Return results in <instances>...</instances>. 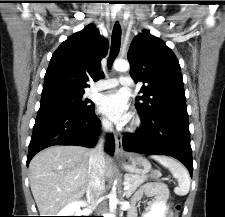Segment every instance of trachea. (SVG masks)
Returning a JSON list of instances; mask_svg holds the SVG:
<instances>
[{"instance_id": "3493384b", "label": "trachea", "mask_w": 225, "mask_h": 217, "mask_svg": "<svg viewBox=\"0 0 225 217\" xmlns=\"http://www.w3.org/2000/svg\"><path fill=\"white\" fill-rule=\"evenodd\" d=\"M121 45V28L118 22L115 23L112 31V38H111V51L108 59V66L111 67L112 63L119 53Z\"/></svg>"}]
</instances>
